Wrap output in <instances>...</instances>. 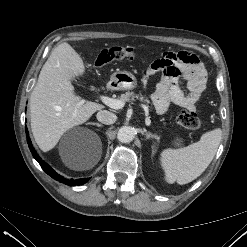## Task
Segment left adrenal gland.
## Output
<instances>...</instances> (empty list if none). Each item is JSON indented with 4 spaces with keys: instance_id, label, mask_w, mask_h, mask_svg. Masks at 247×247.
Wrapping results in <instances>:
<instances>
[{
    "instance_id": "left-adrenal-gland-1",
    "label": "left adrenal gland",
    "mask_w": 247,
    "mask_h": 247,
    "mask_svg": "<svg viewBox=\"0 0 247 247\" xmlns=\"http://www.w3.org/2000/svg\"><path fill=\"white\" fill-rule=\"evenodd\" d=\"M145 136H146V139H155L157 141L159 140V137L156 134H152L151 132H148L146 130H145ZM151 148H152V153H153L154 145Z\"/></svg>"
}]
</instances>
